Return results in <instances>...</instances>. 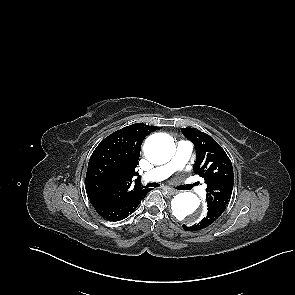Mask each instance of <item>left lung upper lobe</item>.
<instances>
[{"instance_id":"1","label":"left lung upper lobe","mask_w":295,"mask_h":295,"mask_svg":"<svg viewBox=\"0 0 295 295\" xmlns=\"http://www.w3.org/2000/svg\"><path fill=\"white\" fill-rule=\"evenodd\" d=\"M196 149L195 174L207 184L206 202L227 205L232 194L234 174L232 163L223 148L208 134L195 128H181Z\"/></svg>"}]
</instances>
